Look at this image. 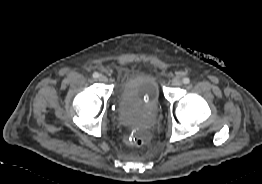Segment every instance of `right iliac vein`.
<instances>
[{"label":"right iliac vein","mask_w":262,"mask_h":184,"mask_svg":"<svg viewBox=\"0 0 262 184\" xmlns=\"http://www.w3.org/2000/svg\"><path fill=\"white\" fill-rule=\"evenodd\" d=\"M99 81L105 83V82L108 81V78H107L105 75H100V77H99Z\"/></svg>","instance_id":"obj_1"}]
</instances>
